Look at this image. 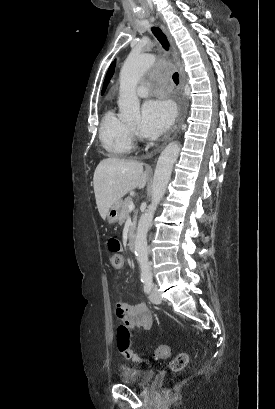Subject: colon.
Returning a JSON list of instances; mask_svg holds the SVG:
<instances>
[{
	"label": "colon",
	"instance_id": "5ec220e1",
	"mask_svg": "<svg viewBox=\"0 0 275 409\" xmlns=\"http://www.w3.org/2000/svg\"><path fill=\"white\" fill-rule=\"evenodd\" d=\"M107 248L112 253L111 261L112 267L114 270H121L123 267V258L122 254L120 253L121 250V243L117 237H111L107 240ZM157 350L151 351L152 357L157 358H168L169 357V350H170V343L169 342H159L157 344ZM189 362V356L187 353H180L176 355L170 364V368L172 372H180L183 370Z\"/></svg>",
	"mask_w": 275,
	"mask_h": 409
}]
</instances>
